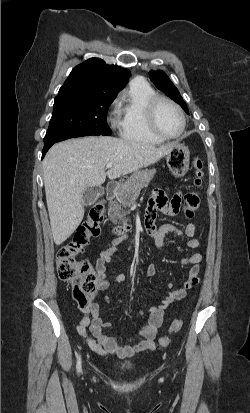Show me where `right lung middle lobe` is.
I'll list each match as a JSON object with an SVG mask.
<instances>
[{"mask_svg":"<svg viewBox=\"0 0 250 413\" xmlns=\"http://www.w3.org/2000/svg\"><path fill=\"white\" fill-rule=\"evenodd\" d=\"M116 93L86 90L78 87L60 88L55 98L53 115L44 137V144L79 132L111 135L106 117Z\"/></svg>","mask_w":250,"mask_h":413,"instance_id":"dd1d6c3e","label":"right lung middle lobe"}]
</instances>
